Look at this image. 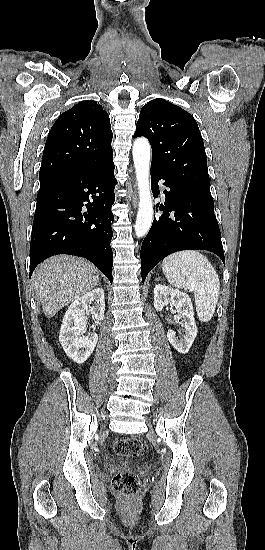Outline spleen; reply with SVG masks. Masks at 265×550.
Masks as SVG:
<instances>
[{"label":"spleen","instance_id":"1","mask_svg":"<svg viewBox=\"0 0 265 550\" xmlns=\"http://www.w3.org/2000/svg\"><path fill=\"white\" fill-rule=\"evenodd\" d=\"M161 266L172 286L192 287L199 319L210 321L219 299L220 282L209 260L198 251L186 250L169 255Z\"/></svg>","mask_w":265,"mask_h":550}]
</instances>
